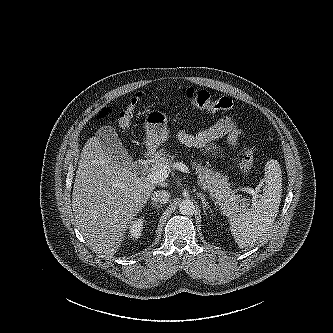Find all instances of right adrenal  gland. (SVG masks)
I'll use <instances>...</instances> for the list:
<instances>
[{"mask_svg": "<svg viewBox=\"0 0 333 333\" xmlns=\"http://www.w3.org/2000/svg\"><path fill=\"white\" fill-rule=\"evenodd\" d=\"M153 207L160 208L161 206L157 203H151Z\"/></svg>", "mask_w": 333, "mask_h": 333, "instance_id": "right-adrenal-gland-1", "label": "right adrenal gland"}]
</instances>
